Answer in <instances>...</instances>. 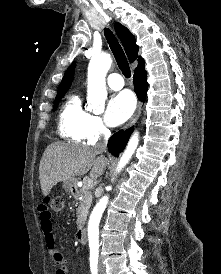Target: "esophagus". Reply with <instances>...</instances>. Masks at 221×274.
Masks as SVG:
<instances>
[{"mask_svg":"<svg viewBox=\"0 0 221 274\" xmlns=\"http://www.w3.org/2000/svg\"><path fill=\"white\" fill-rule=\"evenodd\" d=\"M140 113H141V103L138 104V107H137L135 113L133 114V116L131 117V119L129 120L127 125L125 126V129L129 128L130 126H132L136 122V120L138 119Z\"/></svg>","mask_w":221,"mask_h":274,"instance_id":"1","label":"esophagus"}]
</instances>
